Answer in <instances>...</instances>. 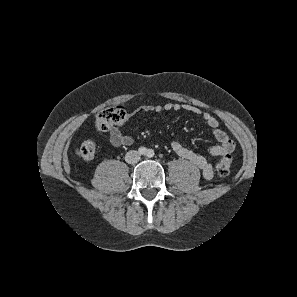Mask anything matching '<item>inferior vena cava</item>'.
I'll return each mask as SVG.
<instances>
[{
	"instance_id": "1",
	"label": "inferior vena cava",
	"mask_w": 297,
	"mask_h": 297,
	"mask_svg": "<svg viewBox=\"0 0 297 297\" xmlns=\"http://www.w3.org/2000/svg\"><path fill=\"white\" fill-rule=\"evenodd\" d=\"M140 160V153L135 150H130L125 155V161L129 164H135Z\"/></svg>"
}]
</instances>
